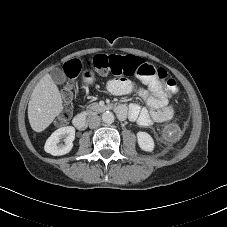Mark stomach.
<instances>
[{
	"label": "stomach",
	"mask_w": 227,
	"mask_h": 227,
	"mask_svg": "<svg viewBox=\"0 0 227 227\" xmlns=\"http://www.w3.org/2000/svg\"><path fill=\"white\" fill-rule=\"evenodd\" d=\"M83 77L86 82L91 83L94 79V73L91 70H87L84 72Z\"/></svg>",
	"instance_id": "obj_1"
}]
</instances>
